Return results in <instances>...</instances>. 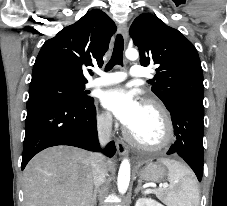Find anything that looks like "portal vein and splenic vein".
Masks as SVG:
<instances>
[{"mask_svg": "<svg viewBox=\"0 0 227 206\" xmlns=\"http://www.w3.org/2000/svg\"><path fill=\"white\" fill-rule=\"evenodd\" d=\"M162 186H163L164 188H166V187H168V184L164 183ZM152 192H154L152 189H147V190L145 191L146 194L152 193Z\"/></svg>", "mask_w": 227, "mask_h": 206, "instance_id": "18ae733b", "label": "portal vein and splenic vein"}]
</instances>
